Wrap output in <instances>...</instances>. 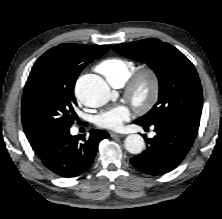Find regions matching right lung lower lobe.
<instances>
[{"instance_id":"1","label":"right lung lower lobe","mask_w":222,"mask_h":219,"mask_svg":"<svg viewBox=\"0 0 222 219\" xmlns=\"http://www.w3.org/2000/svg\"><path fill=\"white\" fill-rule=\"evenodd\" d=\"M109 137L103 130H91L88 139L72 136L69 129L57 134L47 149L39 154L53 173L71 178L84 173L93 163L99 142Z\"/></svg>"}]
</instances>
